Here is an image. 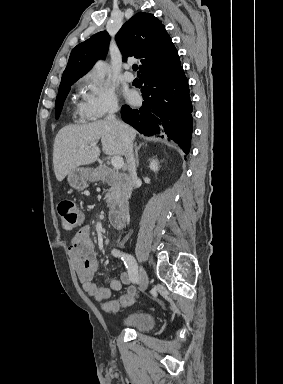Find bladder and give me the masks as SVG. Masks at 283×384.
<instances>
[{
  "mask_svg": "<svg viewBox=\"0 0 283 384\" xmlns=\"http://www.w3.org/2000/svg\"><path fill=\"white\" fill-rule=\"evenodd\" d=\"M119 327L149 333L156 327V314L152 309L133 311L120 320Z\"/></svg>",
  "mask_w": 283,
  "mask_h": 384,
  "instance_id": "obj_1",
  "label": "bladder"
}]
</instances>
